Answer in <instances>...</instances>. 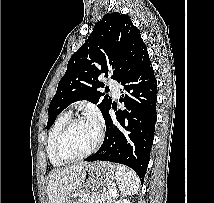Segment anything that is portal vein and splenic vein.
<instances>
[{
    "label": "portal vein and splenic vein",
    "instance_id": "portal-vein-and-splenic-vein-1",
    "mask_svg": "<svg viewBox=\"0 0 214 203\" xmlns=\"http://www.w3.org/2000/svg\"><path fill=\"white\" fill-rule=\"evenodd\" d=\"M110 193H111V195L114 197V196H116L117 191H116V190L111 189V190H110Z\"/></svg>",
    "mask_w": 214,
    "mask_h": 203
}]
</instances>
